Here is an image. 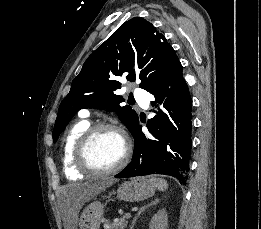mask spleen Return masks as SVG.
<instances>
[{"label":"spleen","mask_w":261,"mask_h":229,"mask_svg":"<svg viewBox=\"0 0 261 229\" xmlns=\"http://www.w3.org/2000/svg\"><path fill=\"white\" fill-rule=\"evenodd\" d=\"M152 181H154L158 191H165V189H167L168 185H167V181H165V179H152Z\"/></svg>","instance_id":"3e777b00"}]
</instances>
